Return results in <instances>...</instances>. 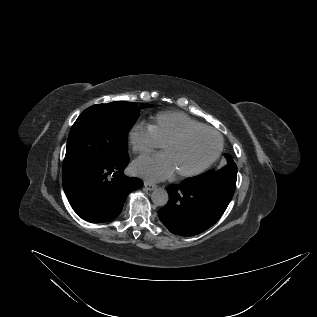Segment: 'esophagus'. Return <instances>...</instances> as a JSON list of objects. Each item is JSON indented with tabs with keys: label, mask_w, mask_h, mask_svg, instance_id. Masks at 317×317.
<instances>
[{
	"label": "esophagus",
	"mask_w": 317,
	"mask_h": 317,
	"mask_svg": "<svg viewBox=\"0 0 317 317\" xmlns=\"http://www.w3.org/2000/svg\"><path fill=\"white\" fill-rule=\"evenodd\" d=\"M144 187L147 189V190H154L157 186L153 183H150V182H144Z\"/></svg>",
	"instance_id": "obj_1"
}]
</instances>
